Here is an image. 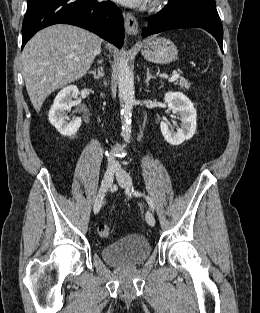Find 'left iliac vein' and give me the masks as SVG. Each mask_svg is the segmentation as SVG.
<instances>
[{
  "instance_id": "1",
  "label": "left iliac vein",
  "mask_w": 260,
  "mask_h": 313,
  "mask_svg": "<svg viewBox=\"0 0 260 313\" xmlns=\"http://www.w3.org/2000/svg\"><path fill=\"white\" fill-rule=\"evenodd\" d=\"M117 181L123 189H125L127 192H129L132 181H131V177L124 170L120 169L117 172ZM145 217H146L147 223L150 226L155 225V217L151 211H147Z\"/></svg>"
}]
</instances>
